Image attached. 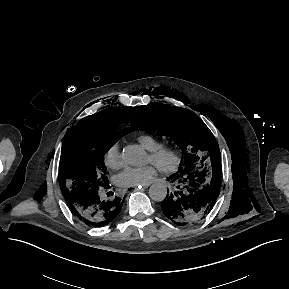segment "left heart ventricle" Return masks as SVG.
<instances>
[{"label":"left heart ventricle","instance_id":"b2bd125f","mask_svg":"<svg viewBox=\"0 0 289 289\" xmlns=\"http://www.w3.org/2000/svg\"><path fill=\"white\" fill-rule=\"evenodd\" d=\"M147 162H151V158H150L149 154L147 155Z\"/></svg>","mask_w":289,"mask_h":289}]
</instances>
